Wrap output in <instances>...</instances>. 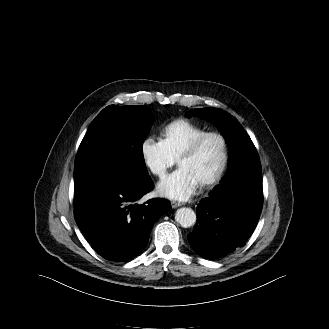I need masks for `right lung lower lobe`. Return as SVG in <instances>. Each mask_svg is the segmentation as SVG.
Listing matches in <instances>:
<instances>
[{
	"instance_id": "98d812e1",
	"label": "right lung lower lobe",
	"mask_w": 329,
	"mask_h": 329,
	"mask_svg": "<svg viewBox=\"0 0 329 329\" xmlns=\"http://www.w3.org/2000/svg\"><path fill=\"white\" fill-rule=\"evenodd\" d=\"M153 188L149 177L139 186L93 179L74 187V217L93 248L105 259L123 262L145 248L154 223L171 206L165 199L135 203Z\"/></svg>"
}]
</instances>
